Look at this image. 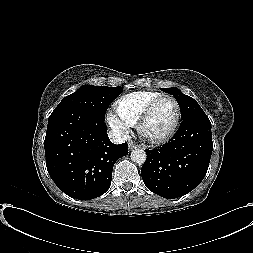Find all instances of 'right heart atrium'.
Instances as JSON below:
<instances>
[{"mask_svg":"<svg viewBox=\"0 0 253 253\" xmlns=\"http://www.w3.org/2000/svg\"><path fill=\"white\" fill-rule=\"evenodd\" d=\"M107 122L109 126L121 137H127L130 133L129 126H127L118 116L112 111L107 113Z\"/></svg>","mask_w":253,"mask_h":253,"instance_id":"d8ad5b80","label":"right heart atrium"}]
</instances>
